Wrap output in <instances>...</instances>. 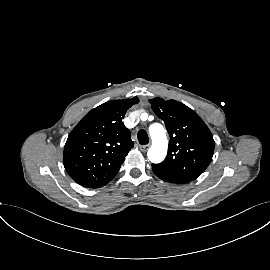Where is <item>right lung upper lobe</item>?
Segmentation results:
<instances>
[{
  "instance_id": "1",
  "label": "right lung upper lobe",
  "mask_w": 270,
  "mask_h": 270,
  "mask_svg": "<svg viewBox=\"0 0 270 270\" xmlns=\"http://www.w3.org/2000/svg\"><path fill=\"white\" fill-rule=\"evenodd\" d=\"M138 102L137 97L108 101L86 114L69 134L63 164L78 184L96 188L118 173L134 146L122 119Z\"/></svg>"
}]
</instances>
